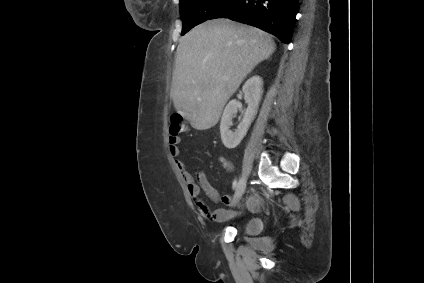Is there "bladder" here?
<instances>
[{
	"instance_id": "bladder-1",
	"label": "bladder",
	"mask_w": 424,
	"mask_h": 283,
	"mask_svg": "<svg viewBox=\"0 0 424 283\" xmlns=\"http://www.w3.org/2000/svg\"><path fill=\"white\" fill-rule=\"evenodd\" d=\"M262 222L258 218H251L246 221L243 226V232L245 234H257L261 231Z\"/></svg>"
}]
</instances>
